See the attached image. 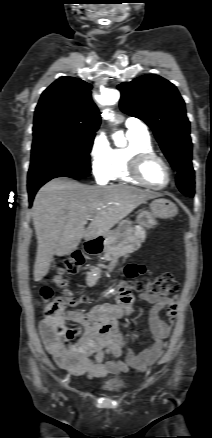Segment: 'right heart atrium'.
<instances>
[{"label": "right heart atrium", "instance_id": "1", "mask_svg": "<svg viewBox=\"0 0 212 438\" xmlns=\"http://www.w3.org/2000/svg\"><path fill=\"white\" fill-rule=\"evenodd\" d=\"M110 150L105 133L96 134L90 146L89 160L93 176L99 183L107 181L111 166Z\"/></svg>", "mask_w": 212, "mask_h": 438}]
</instances>
